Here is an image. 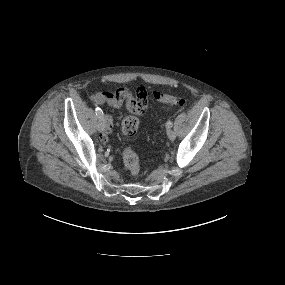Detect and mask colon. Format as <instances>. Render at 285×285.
I'll list each match as a JSON object with an SVG mask.
<instances>
[{"mask_svg": "<svg viewBox=\"0 0 285 285\" xmlns=\"http://www.w3.org/2000/svg\"><path fill=\"white\" fill-rule=\"evenodd\" d=\"M136 93L140 96L143 93V87H139ZM154 98L169 107H176L183 104L184 100L182 97L174 94L155 92ZM139 128V120L135 116H126L121 122V131L124 136H133ZM123 161L125 167L136 174L139 170V157L134 150L131 148H125L123 150Z\"/></svg>", "mask_w": 285, "mask_h": 285, "instance_id": "obj_1", "label": "colon"}]
</instances>
